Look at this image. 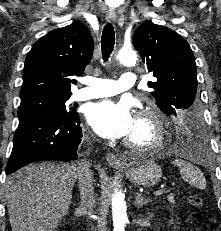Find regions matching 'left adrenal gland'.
Returning <instances> with one entry per match:
<instances>
[{
    "mask_svg": "<svg viewBox=\"0 0 221 231\" xmlns=\"http://www.w3.org/2000/svg\"><path fill=\"white\" fill-rule=\"evenodd\" d=\"M150 200H147L141 196L140 193H137V196L135 197V206L137 208H141L142 206L148 204Z\"/></svg>",
    "mask_w": 221,
    "mask_h": 231,
    "instance_id": "1",
    "label": "left adrenal gland"
}]
</instances>
